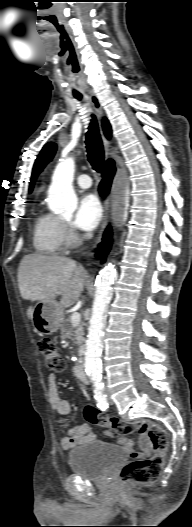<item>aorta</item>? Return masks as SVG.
<instances>
[{
	"instance_id": "obj_1",
	"label": "aorta",
	"mask_w": 192,
	"mask_h": 527,
	"mask_svg": "<svg viewBox=\"0 0 192 527\" xmlns=\"http://www.w3.org/2000/svg\"><path fill=\"white\" fill-rule=\"evenodd\" d=\"M75 162L73 158L66 157L56 166L52 183L49 188V207L55 213L68 214L77 209L78 200L73 190ZM117 194L121 203L128 199V177L121 171L116 180ZM116 271L111 263L99 272L96 281V291L92 306L91 318L86 340L84 366L86 374L95 384L102 379V350L103 337L106 325V312L112 298V285Z\"/></svg>"
}]
</instances>
